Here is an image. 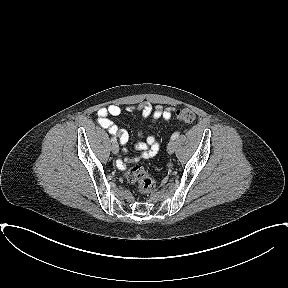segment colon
Listing matches in <instances>:
<instances>
[{
  "label": "colon",
  "mask_w": 288,
  "mask_h": 288,
  "mask_svg": "<svg viewBox=\"0 0 288 288\" xmlns=\"http://www.w3.org/2000/svg\"><path fill=\"white\" fill-rule=\"evenodd\" d=\"M176 118L185 124H191L195 120V114L188 108L179 109L176 112ZM127 181L136 183L138 191L142 195L150 194L155 188L154 180L148 175L142 165L136 164L125 172Z\"/></svg>",
  "instance_id": "1"
}]
</instances>
